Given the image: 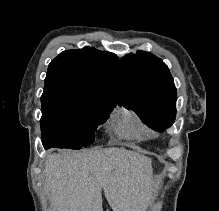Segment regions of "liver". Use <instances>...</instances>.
<instances>
[{"instance_id":"liver-1","label":"liver","mask_w":219,"mask_h":211,"mask_svg":"<svg viewBox=\"0 0 219 211\" xmlns=\"http://www.w3.org/2000/svg\"><path fill=\"white\" fill-rule=\"evenodd\" d=\"M150 157L124 147L49 153L43 185L55 211H145Z\"/></svg>"}]
</instances>
